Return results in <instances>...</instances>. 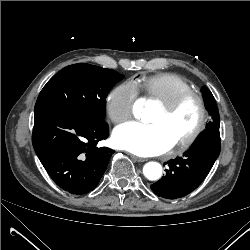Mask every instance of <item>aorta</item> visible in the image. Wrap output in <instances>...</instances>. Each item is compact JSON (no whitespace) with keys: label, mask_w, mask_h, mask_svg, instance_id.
<instances>
[{"label":"aorta","mask_w":250,"mask_h":250,"mask_svg":"<svg viewBox=\"0 0 250 250\" xmlns=\"http://www.w3.org/2000/svg\"><path fill=\"white\" fill-rule=\"evenodd\" d=\"M145 114H148L147 110H145ZM143 173L147 179L157 180L162 175V166L157 162H148L143 168Z\"/></svg>","instance_id":"1"}]
</instances>
